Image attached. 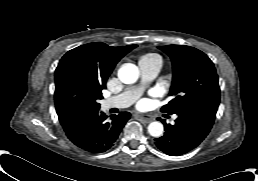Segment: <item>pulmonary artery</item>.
I'll list each match as a JSON object with an SVG mask.
<instances>
[{
    "label": "pulmonary artery",
    "mask_w": 258,
    "mask_h": 181,
    "mask_svg": "<svg viewBox=\"0 0 258 181\" xmlns=\"http://www.w3.org/2000/svg\"><path fill=\"white\" fill-rule=\"evenodd\" d=\"M161 60L140 64L142 82L125 89L122 93L109 97L102 102L104 110L112 108H126L133 104L142 94L148 83L156 78L161 69Z\"/></svg>",
    "instance_id": "obj_1"
}]
</instances>
